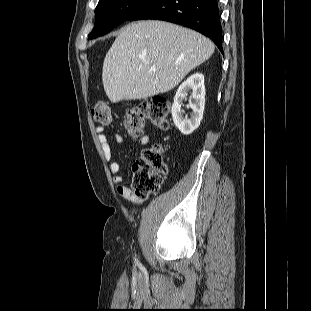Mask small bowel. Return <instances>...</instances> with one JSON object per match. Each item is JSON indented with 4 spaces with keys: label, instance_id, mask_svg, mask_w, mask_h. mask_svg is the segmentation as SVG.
<instances>
[{
    "label": "small bowel",
    "instance_id": "small-bowel-1",
    "mask_svg": "<svg viewBox=\"0 0 311 311\" xmlns=\"http://www.w3.org/2000/svg\"><path fill=\"white\" fill-rule=\"evenodd\" d=\"M95 133L97 141L99 143L102 155L104 159L108 162V168L110 173L113 176V182L116 186L117 192L124 198L130 200L134 204H142L148 199V196H139L136 195L131 188L123 184V177L120 174V164L118 161L113 159L112 147L108 141V138L104 132V128L101 126L95 127ZM114 140L116 144H122L124 139L121 134H115ZM149 136L142 135L138 143L141 146H146L149 143Z\"/></svg>",
    "mask_w": 311,
    "mask_h": 311
}]
</instances>
